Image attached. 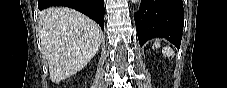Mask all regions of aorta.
<instances>
[{
  "label": "aorta",
  "instance_id": "aorta-1",
  "mask_svg": "<svg viewBox=\"0 0 227 88\" xmlns=\"http://www.w3.org/2000/svg\"><path fill=\"white\" fill-rule=\"evenodd\" d=\"M132 2H133V3H136V2H138V0H132Z\"/></svg>",
  "mask_w": 227,
  "mask_h": 88
}]
</instances>
